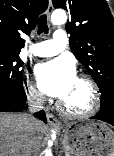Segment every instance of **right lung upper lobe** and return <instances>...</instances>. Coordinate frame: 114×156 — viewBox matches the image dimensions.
<instances>
[{"label": "right lung upper lobe", "mask_w": 114, "mask_h": 156, "mask_svg": "<svg viewBox=\"0 0 114 156\" xmlns=\"http://www.w3.org/2000/svg\"><path fill=\"white\" fill-rule=\"evenodd\" d=\"M48 7V0H0V54H19L36 21Z\"/></svg>", "instance_id": "right-lung-upper-lobe-1"}]
</instances>
